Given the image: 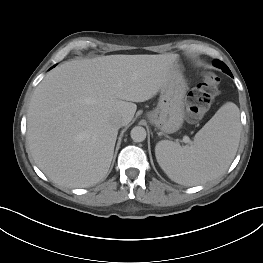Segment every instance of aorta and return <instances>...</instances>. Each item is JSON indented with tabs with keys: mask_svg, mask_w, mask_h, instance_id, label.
<instances>
[{
	"mask_svg": "<svg viewBox=\"0 0 263 263\" xmlns=\"http://www.w3.org/2000/svg\"><path fill=\"white\" fill-rule=\"evenodd\" d=\"M130 135L134 142H142L146 139V130L144 127L135 126L131 130Z\"/></svg>",
	"mask_w": 263,
	"mask_h": 263,
	"instance_id": "obj_1",
	"label": "aorta"
}]
</instances>
